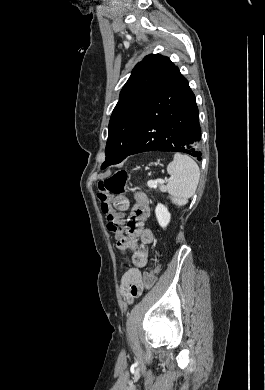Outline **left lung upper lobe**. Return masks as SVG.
<instances>
[{"label":"left lung upper lobe","instance_id":"1","mask_svg":"<svg viewBox=\"0 0 265 390\" xmlns=\"http://www.w3.org/2000/svg\"><path fill=\"white\" fill-rule=\"evenodd\" d=\"M175 67L168 57L150 54L132 70L109 121L102 169L126 158L147 106Z\"/></svg>","mask_w":265,"mask_h":390}]
</instances>
